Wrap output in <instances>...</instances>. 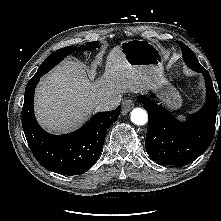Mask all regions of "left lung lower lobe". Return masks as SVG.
I'll list each match as a JSON object with an SVG mask.
<instances>
[{"label": "left lung lower lobe", "instance_id": "obj_1", "mask_svg": "<svg viewBox=\"0 0 221 221\" xmlns=\"http://www.w3.org/2000/svg\"><path fill=\"white\" fill-rule=\"evenodd\" d=\"M194 71L204 75L207 100L203 108L187 122H179L172 113L148 97H138L148 112L146 151L159 164L175 167L189 164L206 151L213 139L217 95L208 72L203 67ZM219 95L221 103L220 92Z\"/></svg>", "mask_w": 221, "mask_h": 221}]
</instances>
